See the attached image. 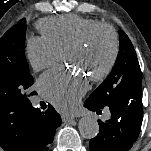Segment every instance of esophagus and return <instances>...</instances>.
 I'll return each instance as SVG.
<instances>
[{"mask_svg": "<svg viewBox=\"0 0 151 151\" xmlns=\"http://www.w3.org/2000/svg\"><path fill=\"white\" fill-rule=\"evenodd\" d=\"M76 117H78V116L73 115V114H63L61 116L62 121H64V122H70V121L74 120Z\"/></svg>", "mask_w": 151, "mask_h": 151, "instance_id": "obj_1", "label": "esophagus"}]
</instances>
